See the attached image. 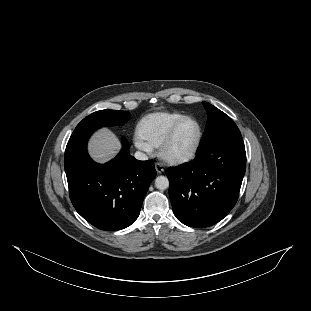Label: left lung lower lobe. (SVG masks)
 Wrapping results in <instances>:
<instances>
[{"label":"left lung lower lobe","instance_id":"left-lung-lower-lobe-1","mask_svg":"<svg viewBox=\"0 0 311 311\" xmlns=\"http://www.w3.org/2000/svg\"><path fill=\"white\" fill-rule=\"evenodd\" d=\"M246 169L241 134L220 137L198 148L193 161L166 170L177 219L203 228L222 220L234 207Z\"/></svg>","mask_w":311,"mask_h":311}]
</instances>
